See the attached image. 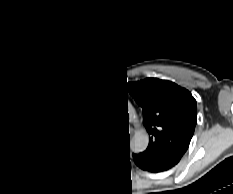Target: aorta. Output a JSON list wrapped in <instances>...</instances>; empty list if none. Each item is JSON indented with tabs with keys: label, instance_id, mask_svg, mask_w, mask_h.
Instances as JSON below:
<instances>
[{
	"label": "aorta",
	"instance_id": "obj_1",
	"mask_svg": "<svg viewBox=\"0 0 233 194\" xmlns=\"http://www.w3.org/2000/svg\"><path fill=\"white\" fill-rule=\"evenodd\" d=\"M129 115H130V122L134 123L136 122V115L133 112L132 109L129 108ZM147 138L146 135L143 134H137L133 137L131 144L132 148L135 150H141L146 146Z\"/></svg>",
	"mask_w": 233,
	"mask_h": 194
}]
</instances>
